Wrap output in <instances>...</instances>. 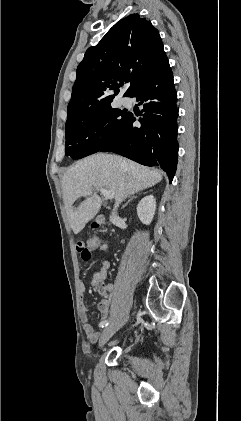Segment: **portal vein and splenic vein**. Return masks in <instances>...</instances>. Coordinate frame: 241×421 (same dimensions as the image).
<instances>
[{
    "label": "portal vein and splenic vein",
    "instance_id": "portal-vein-and-splenic-vein-1",
    "mask_svg": "<svg viewBox=\"0 0 241 421\" xmlns=\"http://www.w3.org/2000/svg\"><path fill=\"white\" fill-rule=\"evenodd\" d=\"M94 190L99 191L104 196V198L107 199V200H110V199L114 198V192L113 191H109V190H106L104 188H99V187L95 188ZM87 194H88L87 190L83 191V195H87Z\"/></svg>",
    "mask_w": 241,
    "mask_h": 421
}]
</instances>
